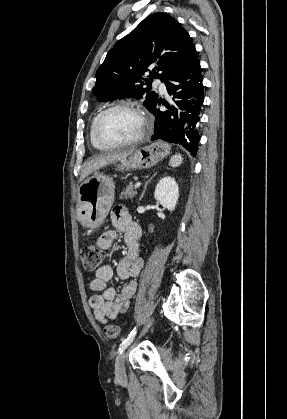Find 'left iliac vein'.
Masks as SVG:
<instances>
[{
	"mask_svg": "<svg viewBox=\"0 0 287 419\" xmlns=\"http://www.w3.org/2000/svg\"><path fill=\"white\" fill-rule=\"evenodd\" d=\"M152 323H153V318H151L147 322V324H146V326L143 330V334H145L148 331V329L150 328ZM126 355H127V350L124 349V351L122 353H120L116 358L115 374H116L117 379H124L126 377V373H125V358H126Z\"/></svg>",
	"mask_w": 287,
	"mask_h": 419,
	"instance_id": "left-iliac-vein-1",
	"label": "left iliac vein"
}]
</instances>
